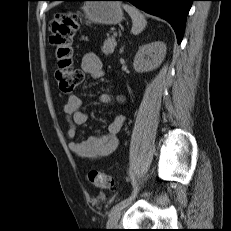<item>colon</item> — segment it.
<instances>
[{
	"label": "colon",
	"instance_id": "colon-1",
	"mask_svg": "<svg viewBox=\"0 0 231 231\" xmlns=\"http://www.w3.org/2000/svg\"><path fill=\"white\" fill-rule=\"evenodd\" d=\"M81 21L79 13L63 12L56 14L51 22L50 42L58 58L56 80L64 94L72 93L84 78L82 71L74 65V38ZM89 180L98 189L113 185L110 175L95 169L89 172Z\"/></svg>",
	"mask_w": 231,
	"mask_h": 231
}]
</instances>
